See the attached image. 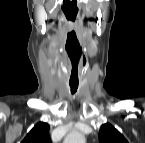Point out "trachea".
Listing matches in <instances>:
<instances>
[{
  "label": "trachea",
  "instance_id": "3493384b",
  "mask_svg": "<svg viewBox=\"0 0 145 143\" xmlns=\"http://www.w3.org/2000/svg\"><path fill=\"white\" fill-rule=\"evenodd\" d=\"M71 93L74 94L78 88V82H70Z\"/></svg>",
  "mask_w": 145,
  "mask_h": 143
}]
</instances>
